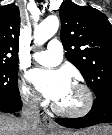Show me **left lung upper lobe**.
Returning a JSON list of instances; mask_svg holds the SVG:
<instances>
[{"label": "left lung upper lobe", "instance_id": "1", "mask_svg": "<svg viewBox=\"0 0 112 135\" xmlns=\"http://www.w3.org/2000/svg\"><path fill=\"white\" fill-rule=\"evenodd\" d=\"M67 59L83 75L96 97L112 93V25L90 6L65 0L59 10Z\"/></svg>", "mask_w": 112, "mask_h": 135}]
</instances>
